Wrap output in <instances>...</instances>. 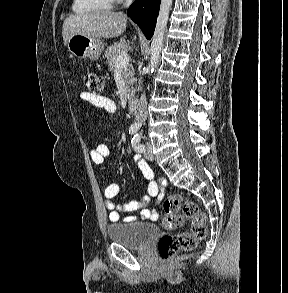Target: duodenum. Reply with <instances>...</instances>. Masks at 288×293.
<instances>
[{"label":"duodenum","instance_id":"1","mask_svg":"<svg viewBox=\"0 0 288 293\" xmlns=\"http://www.w3.org/2000/svg\"><path fill=\"white\" fill-rule=\"evenodd\" d=\"M128 107H129V110H130L132 113H137L138 108H139V102H138V99H137L136 97H131V98L128 100Z\"/></svg>","mask_w":288,"mask_h":293}]
</instances>
